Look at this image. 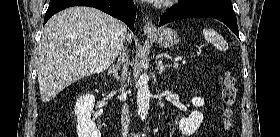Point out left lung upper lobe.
Listing matches in <instances>:
<instances>
[{
	"label": "left lung upper lobe",
	"mask_w": 280,
	"mask_h": 137,
	"mask_svg": "<svg viewBox=\"0 0 280 137\" xmlns=\"http://www.w3.org/2000/svg\"><path fill=\"white\" fill-rule=\"evenodd\" d=\"M190 1H199V0H190Z\"/></svg>",
	"instance_id": "obj_1"
}]
</instances>
